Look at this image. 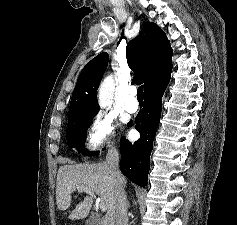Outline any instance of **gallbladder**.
Listing matches in <instances>:
<instances>
[{
    "mask_svg": "<svg viewBox=\"0 0 237 225\" xmlns=\"http://www.w3.org/2000/svg\"><path fill=\"white\" fill-rule=\"evenodd\" d=\"M100 219L98 217L89 218L86 221V225H99Z\"/></svg>",
    "mask_w": 237,
    "mask_h": 225,
    "instance_id": "1",
    "label": "gallbladder"
}]
</instances>
